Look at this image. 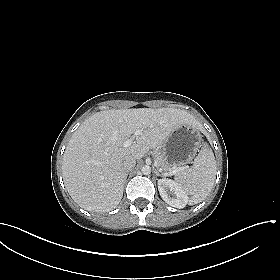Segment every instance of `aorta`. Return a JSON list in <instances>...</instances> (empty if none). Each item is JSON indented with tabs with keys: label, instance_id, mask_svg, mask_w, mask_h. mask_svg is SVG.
I'll use <instances>...</instances> for the list:
<instances>
[{
	"label": "aorta",
	"instance_id": "aorta-1",
	"mask_svg": "<svg viewBox=\"0 0 280 280\" xmlns=\"http://www.w3.org/2000/svg\"><path fill=\"white\" fill-rule=\"evenodd\" d=\"M141 171L144 175H148L151 173V168H150V166L145 165L142 167Z\"/></svg>",
	"mask_w": 280,
	"mask_h": 280
}]
</instances>
